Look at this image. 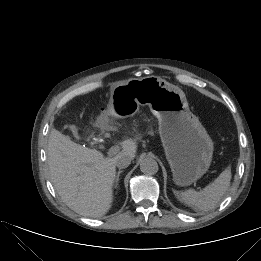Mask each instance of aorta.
Segmentation results:
<instances>
[{
	"mask_svg": "<svg viewBox=\"0 0 261 261\" xmlns=\"http://www.w3.org/2000/svg\"><path fill=\"white\" fill-rule=\"evenodd\" d=\"M158 163L155 159L146 157L140 162V170L147 175H154L158 172Z\"/></svg>",
	"mask_w": 261,
	"mask_h": 261,
	"instance_id": "obj_1",
	"label": "aorta"
}]
</instances>
